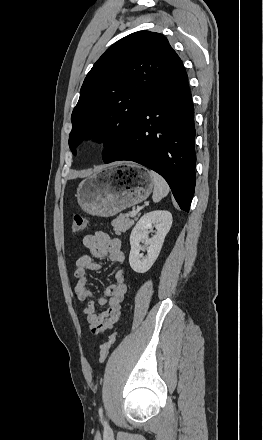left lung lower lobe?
I'll return each mask as SVG.
<instances>
[{
    "label": "left lung lower lobe",
    "instance_id": "0a47b994",
    "mask_svg": "<svg viewBox=\"0 0 263 440\" xmlns=\"http://www.w3.org/2000/svg\"><path fill=\"white\" fill-rule=\"evenodd\" d=\"M195 126L192 95L175 53L141 108L129 147L107 163L129 160L160 174L180 208L189 212L195 190Z\"/></svg>",
    "mask_w": 263,
    "mask_h": 440
}]
</instances>
